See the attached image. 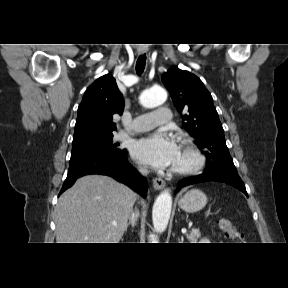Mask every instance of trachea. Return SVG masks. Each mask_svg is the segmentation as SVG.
<instances>
[{"label": "trachea", "instance_id": "trachea-1", "mask_svg": "<svg viewBox=\"0 0 288 288\" xmlns=\"http://www.w3.org/2000/svg\"><path fill=\"white\" fill-rule=\"evenodd\" d=\"M146 65V55H140L136 62V72L138 75H141L145 69Z\"/></svg>", "mask_w": 288, "mask_h": 288}]
</instances>
